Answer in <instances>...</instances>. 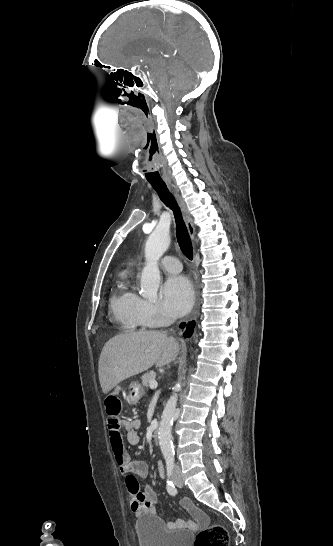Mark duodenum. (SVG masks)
I'll use <instances>...</instances> for the list:
<instances>
[{"instance_id":"1","label":"duodenum","mask_w":333,"mask_h":546,"mask_svg":"<svg viewBox=\"0 0 333 546\" xmlns=\"http://www.w3.org/2000/svg\"><path fill=\"white\" fill-rule=\"evenodd\" d=\"M160 432H159V426L156 425L154 428H153V431H152V437H153V440L155 443H159L160 441Z\"/></svg>"}]
</instances>
